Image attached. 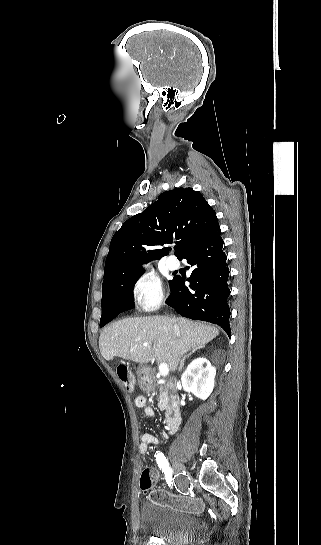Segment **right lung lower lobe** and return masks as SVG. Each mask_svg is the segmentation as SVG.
<instances>
[{
    "mask_svg": "<svg viewBox=\"0 0 321 545\" xmlns=\"http://www.w3.org/2000/svg\"><path fill=\"white\" fill-rule=\"evenodd\" d=\"M223 244L218 225L186 253L183 259L193 267L187 279L190 288L185 277L176 275L169 282L171 296L166 303L181 316L218 324L230 337L229 269ZM133 307V295H111L102 306L104 325Z\"/></svg>",
    "mask_w": 321,
    "mask_h": 545,
    "instance_id": "98d812e1",
    "label": "right lung lower lobe"
}]
</instances>
